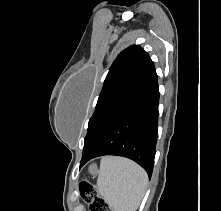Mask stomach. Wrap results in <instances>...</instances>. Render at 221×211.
I'll use <instances>...</instances> for the list:
<instances>
[{"label":"stomach","instance_id":"0dacf381","mask_svg":"<svg viewBox=\"0 0 221 211\" xmlns=\"http://www.w3.org/2000/svg\"><path fill=\"white\" fill-rule=\"evenodd\" d=\"M89 173L92 175H96L98 173L96 165L93 164L89 167Z\"/></svg>","mask_w":221,"mask_h":211}]
</instances>
